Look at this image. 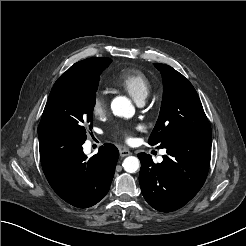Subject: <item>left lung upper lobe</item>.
<instances>
[{
	"label": "left lung upper lobe",
	"mask_w": 246,
	"mask_h": 246,
	"mask_svg": "<svg viewBox=\"0 0 246 246\" xmlns=\"http://www.w3.org/2000/svg\"><path fill=\"white\" fill-rule=\"evenodd\" d=\"M154 65L162 74L164 92L148 143L163 148L176 140H211V127L192 84L172 67Z\"/></svg>",
	"instance_id": "5c2ea615"
}]
</instances>
